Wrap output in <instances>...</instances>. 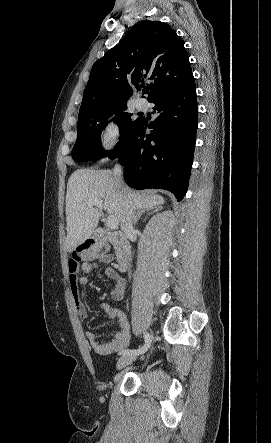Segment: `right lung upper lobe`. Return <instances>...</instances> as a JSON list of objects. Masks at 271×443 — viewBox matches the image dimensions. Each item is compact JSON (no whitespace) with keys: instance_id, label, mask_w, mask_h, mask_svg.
<instances>
[{"instance_id":"right-lung-upper-lobe-1","label":"right lung upper lobe","mask_w":271,"mask_h":443,"mask_svg":"<svg viewBox=\"0 0 271 443\" xmlns=\"http://www.w3.org/2000/svg\"><path fill=\"white\" fill-rule=\"evenodd\" d=\"M147 100L193 79L183 42L168 24L144 20L93 65L79 111L80 118L103 116L127 106L133 89L144 87Z\"/></svg>"}]
</instances>
